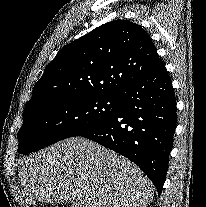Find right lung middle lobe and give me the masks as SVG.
I'll list each match as a JSON object with an SVG mask.
<instances>
[{
  "mask_svg": "<svg viewBox=\"0 0 206 207\" xmlns=\"http://www.w3.org/2000/svg\"><path fill=\"white\" fill-rule=\"evenodd\" d=\"M119 105V94H109L56 98L30 107L18 132V152H35L77 136L113 115Z\"/></svg>",
  "mask_w": 206,
  "mask_h": 207,
  "instance_id": "1",
  "label": "right lung middle lobe"
}]
</instances>
